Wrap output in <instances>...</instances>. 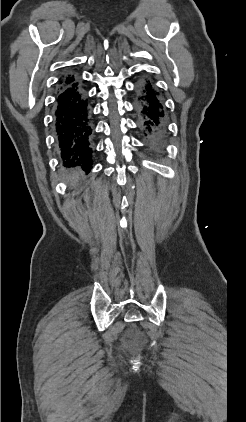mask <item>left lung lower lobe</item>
Returning <instances> with one entry per match:
<instances>
[{
  "mask_svg": "<svg viewBox=\"0 0 246 422\" xmlns=\"http://www.w3.org/2000/svg\"><path fill=\"white\" fill-rule=\"evenodd\" d=\"M140 128L151 147L157 148L165 133V111L159 93L146 79H141L136 97Z\"/></svg>",
  "mask_w": 246,
  "mask_h": 422,
  "instance_id": "1",
  "label": "left lung lower lobe"
}]
</instances>
